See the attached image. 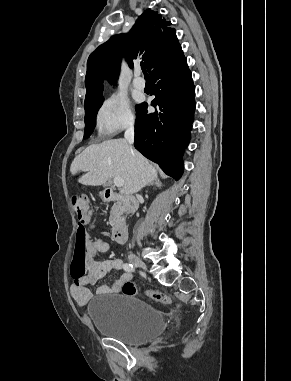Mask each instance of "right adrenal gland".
I'll return each mask as SVG.
<instances>
[{
	"label": "right adrenal gland",
	"instance_id": "2a0ac1e0",
	"mask_svg": "<svg viewBox=\"0 0 291 381\" xmlns=\"http://www.w3.org/2000/svg\"><path fill=\"white\" fill-rule=\"evenodd\" d=\"M151 185H155V186L160 187L161 186V182L156 179L154 182L151 183Z\"/></svg>",
	"mask_w": 291,
	"mask_h": 381
}]
</instances>
